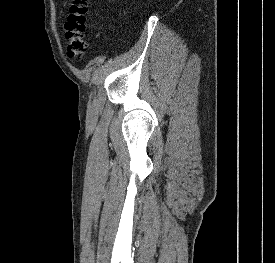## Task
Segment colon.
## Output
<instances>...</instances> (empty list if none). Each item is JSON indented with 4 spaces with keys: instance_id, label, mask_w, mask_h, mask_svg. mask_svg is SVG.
Returning <instances> with one entry per match:
<instances>
[{
    "instance_id": "1",
    "label": "colon",
    "mask_w": 275,
    "mask_h": 263,
    "mask_svg": "<svg viewBox=\"0 0 275 263\" xmlns=\"http://www.w3.org/2000/svg\"><path fill=\"white\" fill-rule=\"evenodd\" d=\"M89 14V0L72 1L70 13L65 23L68 40L67 55L70 59L80 60L87 52Z\"/></svg>"
}]
</instances>
